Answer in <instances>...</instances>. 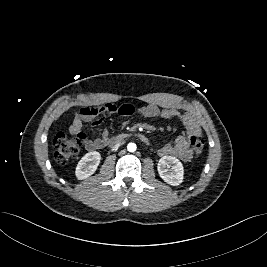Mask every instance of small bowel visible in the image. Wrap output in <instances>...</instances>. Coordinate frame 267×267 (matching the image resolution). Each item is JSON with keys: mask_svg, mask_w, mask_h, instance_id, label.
Here are the masks:
<instances>
[{"mask_svg": "<svg viewBox=\"0 0 267 267\" xmlns=\"http://www.w3.org/2000/svg\"><path fill=\"white\" fill-rule=\"evenodd\" d=\"M137 113L146 118H163L178 120L185 129L186 135L178 136L174 143L164 145L159 150L161 156H174L182 161H188L192 157V149L189 139L191 136H201V127L196 118L188 112L181 113L174 108H159L154 104H147L139 109H135L130 104L115 106L112 104H102L95 106H86L76 112L70 131L73 135L83 131V123L91 122L96 128L101 127L104 117L108 113H118L122 116H130ZM109 142V131L102 129L101 134L96 139H88L85 134L84 144L87 150L93 151L105 147Z\"/></svg>", "mask_w": 267, "mask_h": 267, "instance_id": "obj_1", "label": "small bowel"}]
</instances>
